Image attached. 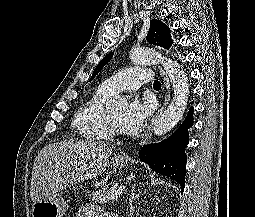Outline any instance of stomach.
<instances>
[{
  "instance_id": "0dacf381",
  "label": "stomach",
  "mask_w": 255,
  "mask_h": 217,
  "mask_svg": "<svg viewBox=\"0 0 255 217\" xmlns=\"http://www.w3.org/2000/svg\"><path fill=\"white\" fill-rule=\"evenodd\" d=\"M115 168H124L127 164L126 157L115 155L112 159ZM68 208V202L61 196L55 195L53 198H44L35 202L32 207V217H63Z\"/></svg>"
}]
</instances>
